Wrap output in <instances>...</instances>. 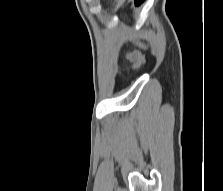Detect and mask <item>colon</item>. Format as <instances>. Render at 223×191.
Returning a JSON list of instances; mask_svg holds the SVG:
<instances>
[{
    "instance_id": "1",
    "label": "colon",
    "mask_w": 223,
    "mask_h": 191,
    "mask_svg": "<svg viewBox=\"0 0 223 191\" xmlns=\"http://www.w3.org/2000/svg\"><path fill=\"white\" fill-rule=\"evenodd\" d=\"M137 46L139 49H142V50L147 48V44L144 42H137Z\"/></svg>"
}]
</instances>
